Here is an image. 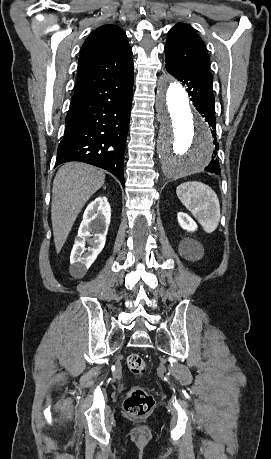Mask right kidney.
<instances>
[{
    "label": "right kidney",
    "instance_id": "obj_1",
    "mask_svg": "<svg viewBox=\"0 0 271 459\" xmlns=\"http://www.w3.org/2000/svg\"><path fill=\"white\" fill-rule=\"evenodd\" d=\"M110 222V204L105 196H98L87 206L72 247L69 271L76 279L85 275L98 253L102 251ZM86 243L90 247H85Z\"/></svg>",
    "mask_w": 271,
    "mask_h": 459
}]
</instances>
